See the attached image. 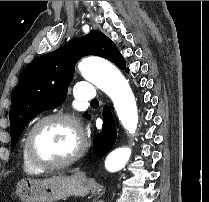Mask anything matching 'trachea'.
Wrapping results in <instances>:
<instances>
[{
  "instance_id": "3493384b",
  "label": "trachea",
  "mask_w": 209,
  "mask_h": 202,
  "mask_svg": "<svg viewBox=\"0 0 209 202\" xmlns=\"http://www.w3.org/2000/svg\"><path fill=\"white\" fill-rule=\"evenodd\" d=\"M90 104H99V101L97 99H94L90 102Z\"/></svg>"
}]
</instances>
